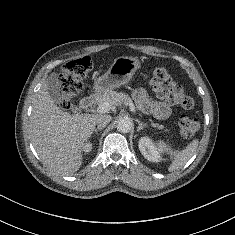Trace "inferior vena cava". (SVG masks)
I'll return each mask as SVG.
<instances>
[{
  "label": "inferior vena cava",
  "instance_id": "1",
  "mask_svg": "<svg viewBox=\"0 0 235 235\" xmlns=\"http://www.w3.org/2000/svg\"><path fill=\"white\" fill-rule=\"evenodd\" d=\"M110 121H111L110 115H100L96 119V124L98 125V127H105Z\"/></svg>",
  "mask_w": 235,
  "mask_h": 235
}]
</instances>
